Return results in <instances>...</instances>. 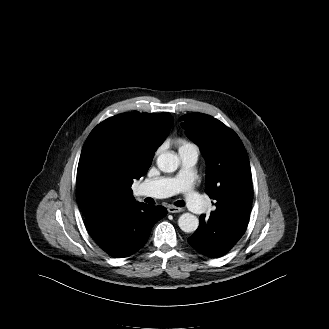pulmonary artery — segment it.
Here are the masks:
<instances>
[{"label": "pulmonary artery", "instance_id": "pulmonary-artery-1", "mask_svg": "<svg viewBox=\"0 0 329 329\" xmlns=\"http://www.w3.org/2000/svg\"><path fill=\"white\" fill-rule=\"evenodd\" d=\"M182 169L174 177H161L149 180L138 188L140 196L163 198L176 193H183L187 207L193 213H200L206 208L205 201L193 190L194 166L198 160L199 149L191 144L186 149L179 151Z\"/></svg>", "mask_w": 329, "mask_h": 329}]
</instances>
